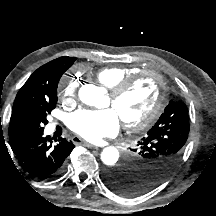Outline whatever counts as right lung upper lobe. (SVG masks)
<instances>
[{
	"instance_id": "right-lung-upper-lobe-1",
	"label": "right lung upper lobe",
	"mask_w": 216,
	"mask_h": 216,
	"mask_svg": "<svg viewBox=\"0 0 216 216\" xmlns=\"http://www.w3.org/2000/svg\"><path fill=\"white\" fill-rule=\"evenodd\" d=\"M76 58L60 57L38 68L19 90L13 105L9 124L10 144L26 133L22 119L44 100H51L57 90L64 67L74 63ZM70 66V67H71Z\"/></svg>"
}]
</instances>
